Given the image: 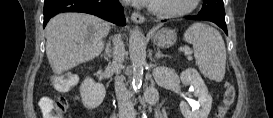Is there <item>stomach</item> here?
I'll return each instance as SVG.
<instances>
[{
	"mask_svg": "<svg viewBox=\"0 0 273 118\" xmlns=\"http://www.w3.org/2000/svg\"><path fill=\"white\" fill-rule=\"evenodd\" d=\"M177 36L174 30L160 29L154 35V42L158 47L168 48L176 42Z\"/></svg>",
	"mask_w": 273,
	"mask_h": 118,
	"instance_id": "1",
	"label": "stomach"
}]
</instances>
